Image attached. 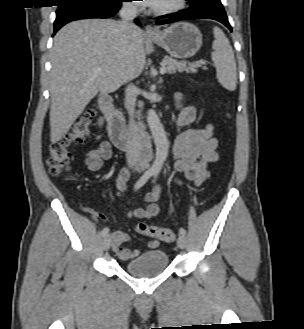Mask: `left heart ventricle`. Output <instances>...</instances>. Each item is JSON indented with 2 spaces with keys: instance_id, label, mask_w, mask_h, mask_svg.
I'll return each mask as SVG.
<instances>
[{
  "instance_id": "left-heart-ventricle-1",
  "label": "left heart ventricle",
  "mask_w": 304,
  "mask_h": 329,
  "mask_svg": "<svg viewBox=\"0 0 304 329\" xmlns=\"http://www.w3.org/2000/svg\"><path fill=\"white\" fill-rule=\"evenodd\" d=\"M175 0H158L154 7L160 8L173 3Z\"/></svg>"
}]
</instances>
